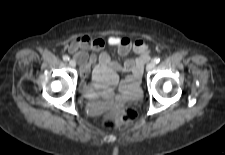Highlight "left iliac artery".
<instances>
[{
	"mask_svg": "<svg viewBox=\"0 0 225 155\" xmlns=\"http://www.w3.org/2000/svg\"><path fill=\"white\" fill-rule=\"evenodd\" d=\"M159 62H160V58H155V59H154V63L157 64V63H159Z\"/></svg>",
	"mask_w": 225,
	"mask_h": 155,
	"instance_id": "left-iliac-artery-1",
	"label": "left iliac artery"
}]
</instances>
